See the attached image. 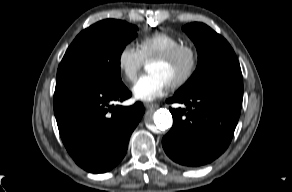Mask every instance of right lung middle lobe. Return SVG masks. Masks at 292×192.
Wrapping results in <instances>:
<instances>
[{
	"instance_id": "dd1d6c3e",
	"label": "right lung middle lobe",
	"mask_w": 292,
	"mask_h": 192,
	"mask_svg": "<svg viewBox=\"0 0 292 192\" xmlns=\"http://www.w3.org/2000/svg\"><path fill=\"white\" fill-rule=\"evenodd\" d=\"M136 30V26L114 19L90 26L75 38L66 51L57 77H85L110 87L123 85L120 56L124 47L136 36Z\"/></svg>"
}]
</instances>
